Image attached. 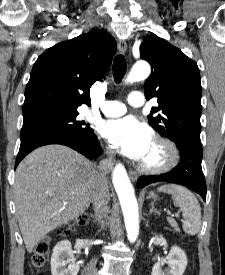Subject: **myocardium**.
<instances>
[{
  "instance_id": "1",
  "label": "myocardium",
  "mask_w": 225,
  "mask_h": 275,
  "mask_svg": "<svg viewBox=\"0 0 225 275\" xmlns=\"http://www.w3.org/2000/svg\"><path fill=\"white\" fill-rule=\"evenodd\" d=\"M153 142L162 148L163 159L155 165L140 162L138 165L139 171L148 175H158L172 170L179 161V151L176 145L162 136H156Z\"/></svg>"
}]
</instances>
